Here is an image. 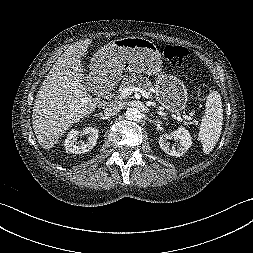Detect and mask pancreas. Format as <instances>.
<instances>
[{"mask_svg": "<svg viewBox=\"0 0 253 253\" xmlns=\"http://www.w3.org/2000/svg\"><path fill=\"white\" fill-rule=\"evenodd\" d=\"M139 86L142 87L145 91L148 92V94H151V89H152V83L148 78H145L143 75L139 74L138 76H136L135 74H132L130 76L126 75L120 85L119 88V99H123L124 97L121 95V92L129 87V86Z\"/></svg>", "mask_w": 253, "mask_h": 253, "instance_id": "pancreas-1", "label": "pancreas"}]
</instances>
